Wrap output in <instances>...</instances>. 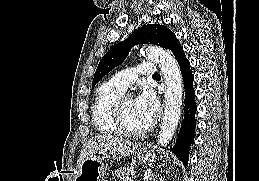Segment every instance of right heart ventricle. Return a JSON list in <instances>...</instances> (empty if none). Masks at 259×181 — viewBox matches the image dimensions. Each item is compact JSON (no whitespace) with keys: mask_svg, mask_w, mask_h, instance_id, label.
<instances>
[{"mask_svg":"<svg viewBox=\"0 0 259 181\" xmlns=\"http://www.w3.org/2000/svg\"><path fill=\"white\" fill-rule=\"evenodd\" d=\"M125 90L110 81L98 86L95 92L91 115L96 129L105 134H120L115 118V104Z\"/></svg>","mask_w":259,"mask_h":181,"instance_id":"1","label":"right heart ventricle"}]
</instances>
